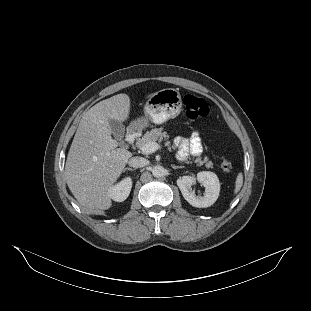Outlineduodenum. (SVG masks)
I'll return each instance as SVG.
<instances>
[{"instance_id": "410a0bca", "label": "duodenum", "mask_w": 311, "mask_h": 311, "mask_svg": "<svg viewBox=\"0 0 311 311\" xmlns=\"http://www.w3.org/2000/svg\"><path fill=\"white\" fill-rule=\"evenodd\" d=\"M140 130L137 127H130L125 135V142L129 145L133 144L139 137Z\"/></svg>"}]
</instances>
